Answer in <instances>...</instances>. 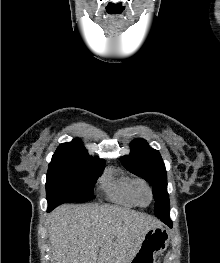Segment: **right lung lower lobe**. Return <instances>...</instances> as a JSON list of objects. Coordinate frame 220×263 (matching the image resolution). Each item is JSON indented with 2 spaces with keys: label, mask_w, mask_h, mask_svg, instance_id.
Wrapping results in <instances>:
<instances>
[{
  "label": "right lung lower lobe",
  "mask_w": 220,
  "mask_h": 263,
  "mask_svg": "<svg viewBox=\"0 0 220 263\" xmlns=\"http://www.w3.org/2000/svg\"><path fill=\"white\" fill-rule=\"evenodd\" d=\"M53 208H55L54 206H51V205H49V207H48V211H51Z\"/></svg>",
  "instance_id": "1"
}]
</instances>
